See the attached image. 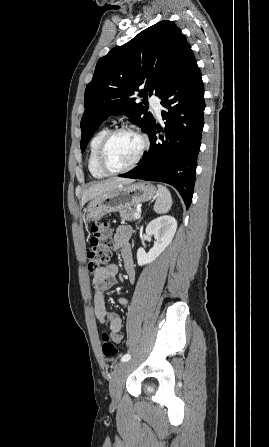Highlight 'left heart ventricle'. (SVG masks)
Segmentation results:
<instances>
[{"label":"left heart ventricle","mask_w":269,"mask_h":447,"mask_svg":"<svg viewBox=\"0 0 269 447\" xmlns=\"http://www.w3.org/2000/svg\"><path fill=\"white\" fill-rule=\"evenodd\" d=\"M142 147V138L135 132L123 131L113 136L106 151V162L112 168L130 165Z\"/></svg>","instance_id":"obj_1"}]
</instances>
